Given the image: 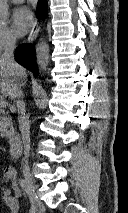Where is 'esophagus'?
Masks as SVG:
<instances>
[{
    "label": "esophagus",
    "mask_w": 128,
    "mask_h": 213,
    "mask_svg": "<svg viewBox=\"0 0 128 213\" xmlns=\"http://www.w3.org/2000/svg\"><path fill=\"white\" fill-rule=\"evenodd\" d=\"M40 23L41 21L36 19L31 30H30V33H29V36L27 38V42L31 43L38 35V32L40 30Z\"/></svg>",
    "instance_id": "obj_1"
}]
</instances>
